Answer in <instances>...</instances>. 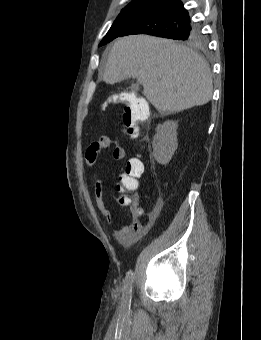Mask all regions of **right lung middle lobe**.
<instances>
[{"label": "right lung middle lobe", "instance_id": "1", "mask_svg": "<svg viewBox=\"0 0 261 340\" xmlns=\"http://www.w3.org/2000/svg\"><path fill=\"white\" fill-rule=\"evenodd\" d=\"M158 4L159 3L154 2H138L127 5L114 21L99 46H102L118 37L142 16L154 9ZM171 39L181 40L195 46L203 45V37L200 34V29L195 24H193V27L187 31L174 34Z\"/></svg>", "mask_w": 261, "mask_h": 340}]
</instances>
